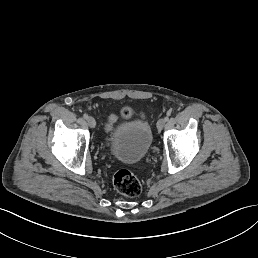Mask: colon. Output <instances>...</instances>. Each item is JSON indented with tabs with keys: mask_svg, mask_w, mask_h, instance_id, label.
I'll return each mask as SVG.
<instances>
[{
	"mask_svg": "<svg viewBox=\"0 0 258 258\" xmlns=\"http://www.w3.org/2000/svg\"><path fill=\"white\" fill-rule=\"evenodd\" d=\"M133 112L128 107H123L120 112L119 116L128 119L132 117ZM117 115H113L110 117L106 128L111 129L113 123L117 119ZM113 184L115 189L124 196L127 197H136L141 193L142 187L141 183L138 178L128 169H120L118 170L113 178Z\"/></svg>",
	"mask_w": 258,
	"mask_h": 258,
	"instance_id": "colon-1",
	"label": "colon"
}]
</instances>
